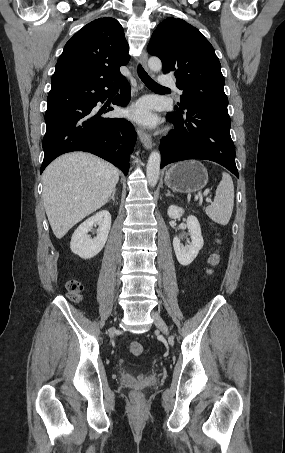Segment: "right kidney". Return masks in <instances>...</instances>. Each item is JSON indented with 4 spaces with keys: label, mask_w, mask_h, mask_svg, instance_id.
<instances>
[{
    "label": "right kidney",
    "mask_w": 285,
    "mask_h": 453,
    "mask_svg": "<svg viewBox=\"0 0 285 453\" xmlns=\"http://www.w3.org/2000/svg\"><path fill=\"white\" fill-rule=\"evenodd\" d=\"M98 225L97 236L91 239L88 232ZM111 228V215L102 210L85 220L74 232L70 242L71 251L83 259L96 256L105 246Z\"/></svg>",
    "instance_id": "obj_1"
}]
</instances>
